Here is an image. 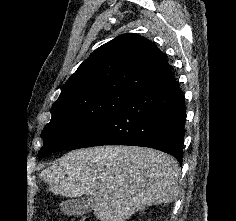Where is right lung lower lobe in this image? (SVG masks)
I'll return each instance as SVG.
<instances>
[{"label": "right lung lower lobe", "instance_id": "1", "mask_svg": "<svg viewBox=\"0 0 236 221\" xmlns=\"http://www.w3.org/2000/svg\"><path fill=\"white\" fill-rule=\"evenodd\" d=\"M185 120L184 95L170 70L138 90L71 149L143 146L166 152L182 164Z\"/></svg>", "mask_w": 236, "mask_h": 221}]
</instances>
